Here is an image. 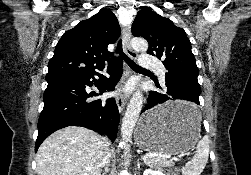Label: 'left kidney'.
<instances>
[{"label": "left kidney", "instance_id": "obj_1", "mask_svg": "<svg viewBox=\"0 0 251 175\" xmlns=\"http://www.w3.org/2000/svg\"><path fill=\"white\" fill-rule=\"evenodd\" d=\"M143 175H165L161 169H145Z\"/></svg>", "mask_w": 251, "mask_h": 175}]
</instances>
